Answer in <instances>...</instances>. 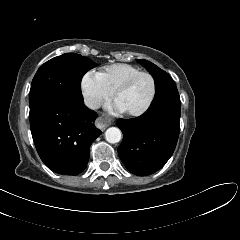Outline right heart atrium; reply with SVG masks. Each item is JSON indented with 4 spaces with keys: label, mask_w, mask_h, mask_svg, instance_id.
<instances>
[{
    "label": "right heart atrium",
    "mask_w": 240,
    "mask_h": 240,
    "mask_svg": "<svg viewBox=\"0 0 240 240\" xmlns=\"http://www.w3.org/2000/svg\"><path fill=\"white\" fill-rule=\"evenodd\" d=\"M81 90L86 104L97 109L110 100L114 92L109 89L97 74L87 73L82 77Z\"/></svg>",
    "instance_id": "right-heart-atrium-1"
}]
</instances>
